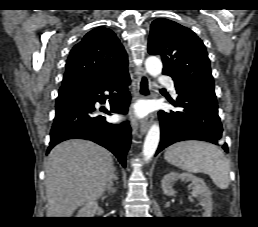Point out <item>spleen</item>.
I'll use <instances>...</instances> for the list:
<instances>
[{
  "label": "spleen",
  "mask_w": 258,
  "mask_h": 227,
  "mask_svg": "<svg viewBox=\"0 0 258 227\" xmlns=\"http://www.w3.org/2000/svg\"><path fill=\"white\" fill-rule=\"evenodd\" d=\"M164 158L182 170L208 174L220 189L229 186V162L213 144L195 140L178 142L166 149Z\"/></svg>",
  "instance_id": "spleen-1"
}]
</instances>
